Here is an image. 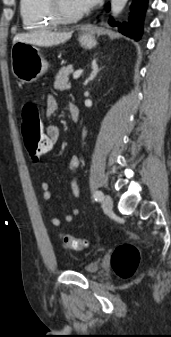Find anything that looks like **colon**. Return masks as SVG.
<instances>
[{
	"label": "colon",
	"mask_w": 171,
	"mask_h": 337,
	"mask_svg": "<svg viewBox=\"0 0 171 337\" xmlns=\"http://www.w3.org/2000/svg\"><path fill=\"white\" fill-rule=\"evenodd\" d=\"M21 132L29 158L38 161L47 151H51L52 140H48L42 132L39 109L35 102L28 101L22 108ZM62 244L72 250H82L87 241L68 234H61ZM140 261V251L132 243L126 242L115 248L111 258L114 272L121 278H131Z\"/></svg>",
	"instance_id": "obj_1"
}]
</instances>
